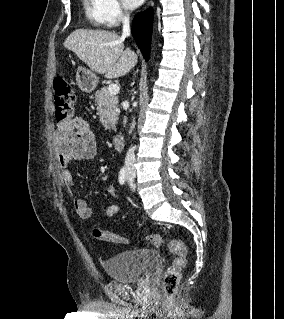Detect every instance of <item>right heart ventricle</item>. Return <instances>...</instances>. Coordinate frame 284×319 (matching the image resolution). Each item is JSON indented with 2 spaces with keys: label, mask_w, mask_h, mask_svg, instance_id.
<instances>
[{
  "label": "right heart ventricle",
  "mask_w": 284,
  "mask_h": 319,
  "mask_svg": "<svg viewBox=\"0 0 284 319\" xmlns=\"http://www.w3.org/2000/svg\"><path fill=\"white\" fill-rule=\"evenodd\" d=\"M85 15L91 24L95 26L106 25L101 0H82Z\"/></svg>",
  "instance_id": "e07e8e85"
}]
</instances>
